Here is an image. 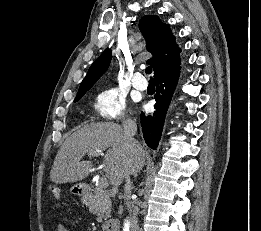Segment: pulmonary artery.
<instances>
[{"label":"pulmonary artery","instance_id":"e3ab8cb5","mask_svg":"<svg viewBox=\"0 0 261 231\" xmlns=\"http://www.w3.org/2000/svg\"><path fill=\"white\" fill-rule=\"evenodd\" d=\"M132 85L138 90H145L147 88V82L140 72L134 74Z\"/></svg>","mask_w":261,"mask_h":231}]
</instances>
